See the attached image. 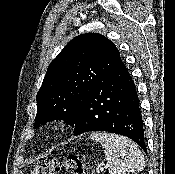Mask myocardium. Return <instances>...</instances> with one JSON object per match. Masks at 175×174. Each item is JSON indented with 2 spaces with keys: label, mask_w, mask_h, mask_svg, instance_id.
I'll use <instances>...</instances> for the list:
<instances>
[{
  "label": "myocardium",
  "mask_w": 175,
  "mask_h": 174,
  "mask_svg": "<svg viewBox=\"0 0 175 174\" xmlns=\"http://www.w3.org/2000/svg\"><path fill=\"white\" fill-rule=\"evenodd\" d=\"M64 124L60 119L50 121L48 128L51 133H58L63 128Z\"/></svg>",
  "instance_id": "obj_1"
}]
</instances>
